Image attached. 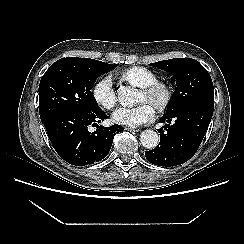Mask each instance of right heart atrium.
Returning <instances> with one entry per match:
<instances>
[{"label": "right heart atrium", "instance_id": "right-heart-atrium-1", "mask_svg": "<svg viewBox=\"0 0 244 244\" xmlns=\"http://www.w3.org/2000/svg\"><path fill=\"white\" fill-rule=\"evenodd\" d=\"M92 94L98 105L104 109L110 110L117 104V96L110 76L99 80L94 85Z\"/></svg>", "mask_w": 244, "mask_h": 244}]
</instances>
